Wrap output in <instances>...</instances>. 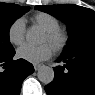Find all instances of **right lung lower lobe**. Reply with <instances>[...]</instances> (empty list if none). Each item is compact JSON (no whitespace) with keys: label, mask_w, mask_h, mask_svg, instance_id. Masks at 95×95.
Masks as SVG:
<instances>
[{"label":"right lung lower lobe","mask_w":95,"mask_h":95,"mask_svg":"<svg viewBox=\"0 0 95 95\" xmlns=\"http://www.w3.org/2000/svg\"><path fill=\"white\" fill-rule=\"evenodd\" d=\"M15 51L0 56V95H19L23 80L33 73L34 67L24 59L12 60Z\"/></svg>","instance_id":"right-lung-lower-lobe-1"}]
</instances>
